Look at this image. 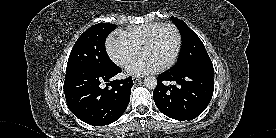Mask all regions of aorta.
<instances>
[{
  "instance_id": "1",
  "label": "aorta",
  "mask_w": 276,
  "mask_h": 138,
  "mask_svg": "<svg viewBox=\"0 0 276 138\" xmlns=\"http://www.w3.org/2000/svg\"><path fill=\"white\" fill-rule=\"evenodd\" d=\"M144 85L148 89H154L157 86V79L154 76H148L144 79Z\"/></svg>"
}]
</instances>
